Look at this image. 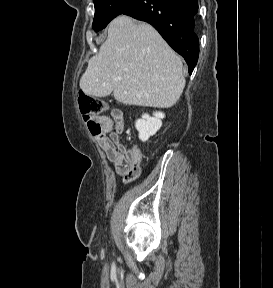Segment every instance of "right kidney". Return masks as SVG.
Masks as SVG:
<instances>
[{
  "label": "right kidney",
  "mask_w": 273,
  "mask_h": 288,
  "mask_svg": "<svg viewBox=\"0 0 273 288\" xmlns=\"http://www.w3.org/2000/svg\"><path fill=\"white\" fill-rule=\"evenodd\" d=\"M164 117L165 114L162 112H154L152 117L148 114H143L142 118L135 122V127L139 132V139L145 142L150 136L155 135L161 128Z\"/></svg>",
  "instance_id": "ca27d5eb"
}]
</instances>
